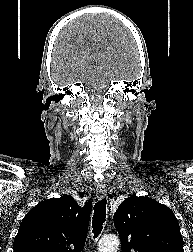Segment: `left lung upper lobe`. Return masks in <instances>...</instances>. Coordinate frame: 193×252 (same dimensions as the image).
<instances>
[{"instance_id":"obj_1","label":"left lung upper lobe","mask_w":193,"mask_h":252,"mask_svg":"<svg viewBox=\"0 0 193 252\" xmlns=\"http://www.w3.org/2000/svg\"><path fill=\"white\" fill-rule=\"evenodd\" d=\"M122 252H184L173 211L148 196L131 195L114 215Z\"/></svg>"}]
</instances>
